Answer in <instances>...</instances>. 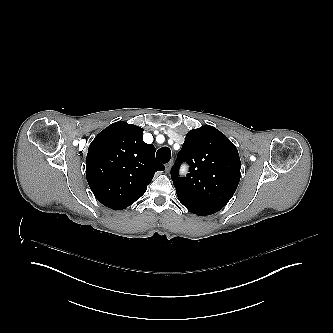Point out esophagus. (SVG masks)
I'll return each instance as SVG.
<instances>
[{
    "instance_id": "34e87169",
    "label": "esophagus",
    "mask_w": 333,
    "mask_h": 333,
    "mask_svg": "<svg viewBox=\"0 0 333 333\" xmlns=\"http://www.w3.org/2000/svg\"><path fill=\"white\" fill-rule=\"evenodd\" d=\"M173 161H170L168 164H166V171H169L172 167Z\"/></svg>"
}]
</instances>
